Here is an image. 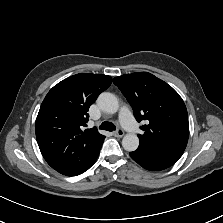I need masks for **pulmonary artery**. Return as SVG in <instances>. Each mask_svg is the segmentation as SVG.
<instances>
[{
    "label": "pulmonary artery",
    "mask_w": 223,
    "mask_h": 223,
    "mask_svg": "<svg viewBox=\"0 0 223 223\" xmlns=\"http://www.w3.org/2000/svg\"><path fill=\"white\" fill-rule=\"evenodd\" d=\"M132 110L128 106H123L119 110V119L121 122V128L128 133H138L142 129V124L138 120H132Z\"/></svg>",
    "instance_id": "1"
}]
</instances>
